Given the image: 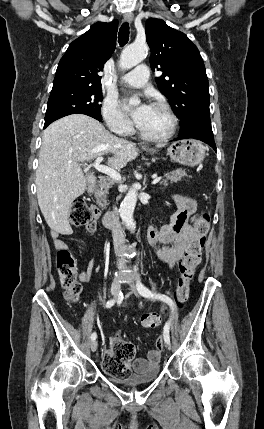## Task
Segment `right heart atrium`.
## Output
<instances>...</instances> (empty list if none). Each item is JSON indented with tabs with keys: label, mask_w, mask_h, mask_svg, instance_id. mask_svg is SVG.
Listing matches in <instances>:
<instances>
[{
	"label": "right heart atrium",
	"mask_w": 264,
	"mask_h": 429,
	"mask_svg": "<svg viewBox=\"0 0 264 429\" xmlns=\"http://www.w3.org/2000/svg\"><path fill=\"white\" fill-rule=\"evenodd\" d=\"M101 112L110 131L119 135H128L131 132L132 124L130 120L121 112L114 99H105L102 104Z\"/></svg>",
	"instance_id": "obj_1"
}]
</instances>
